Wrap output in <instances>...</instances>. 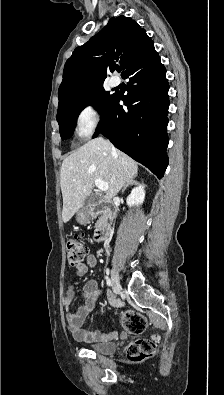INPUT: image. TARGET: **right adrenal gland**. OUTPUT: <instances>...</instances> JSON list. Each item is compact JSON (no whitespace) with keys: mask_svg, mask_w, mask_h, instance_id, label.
I'll return each instance as SVG.
<instances>
[{"mask_svg":"<svg viewBox=\"0 0 224 395\" xmlns=\"http://www.w3.org/2000/svg\"><path fill=\"white\" fill-rule=\"evenodd\" d=\"M136 184H138V182H137L136 180H134V179H131V180L128 181V182L126 183V185L123 187L122 193L127 189V187H129V186H131V185H136Z\"/></svg>","mask_w":224,"mask_h":395,"instance_id":"right-adrenal-gland-1","label":"right adrenal gland"}]
</instances>
